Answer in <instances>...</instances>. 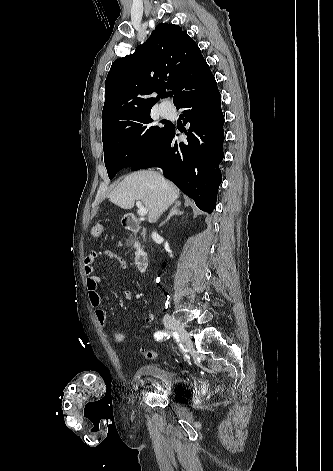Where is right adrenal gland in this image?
<instances>
[{
    "mask_svg": "<svg viewBox=\"0 0 333 471\" xmlns=\"http://www.w3.org/2000/svg\"><path fill=\"white\" fill-rule=\"evenodd\" d=\"M180 206H181V202L176 201L174 203V206L171 208L168 217L166 218V220L162 224H165L166 222H168L170 220V218L174 215H182L184 212L180 211V209H179Z\"/></svg>",
    "mask_w": 333,
    "mask_h": 471,
    "instance_id": "2a0ac1e0",
    "label": "right adrenal gland"
}]
</instances>
